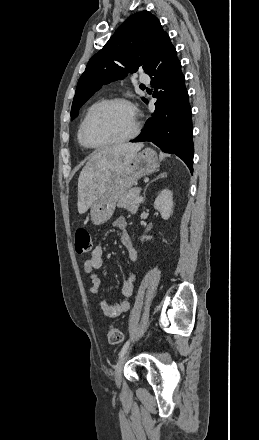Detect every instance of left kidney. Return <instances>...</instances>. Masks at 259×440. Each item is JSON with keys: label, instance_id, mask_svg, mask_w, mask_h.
I'll return each mask as SVG.
<instances>
[{"label": "left kidney", "instance_id": "left-kidney-1", "mask_svg": "<svg viewBox=\"0 0 259 440\" xmlns=\"http://www.w3.org/2000/svg\"><path fill=\"white\" fill-rule=\"evenodd\" d=\"M154 208L158 210L164 220H168L173 213V194L169 189H163L154 202ZM150 240L152 236H142L141 241Z\"/></svg>", "mask_w": 259, "mask_h": 440}]
</instances>
